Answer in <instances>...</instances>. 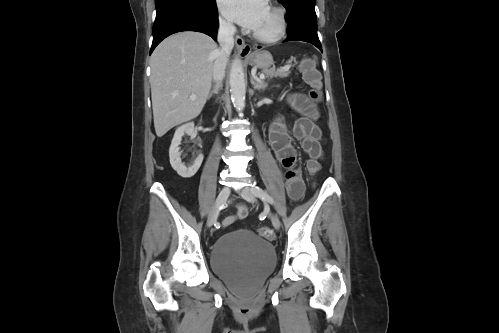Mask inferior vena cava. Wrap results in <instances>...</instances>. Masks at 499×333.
I'll return each instance as SVG.
<instances>
[{"label":"inferior vena cava","mask_w":499,"mask_h":333,"mask_svg":"<svg viewBox=\"0 0 499 333\" xmlns=\"http://www.w3.org/2000/svg\"><path fill=\"white\" fill-rule=\"evenodd\" d=\"M235 27L231 23L220 21L218 31V42L220 49L217 51V57L213 66V80L217 84H221L225 77V68L234 46Z\"/></svg>","instance_id":"inferior-vena-cava-1"}]
</instances>
